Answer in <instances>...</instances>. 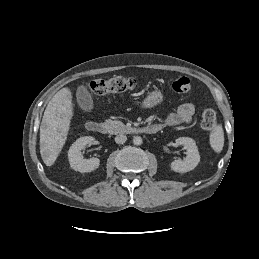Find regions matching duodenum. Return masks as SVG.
<instances>
[{
    "label": "duodenum",
    "mask_w": 259,
    "mask_h": 259,
    "mask_svg": "<svg viewBox=\"0 0 259 259\" xmlns=\"http://www.w3.org/2000/svg\"><path fill=\"white\" fill-rule=\"evenodd\" d=\"M86 128L88 131L92 133H97V134H105L107 132L106 126L97 121H89L86 124ZM160 129V126L158 124H149L145 125L139 128L134 129V132L136 133H142V134H155L158 132Z\"/></svg>",
    "instance_id": "410a0bca"
}]
</instances>
